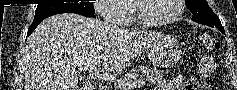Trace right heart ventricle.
Instances as JSON below:
<instances>
[{
	"mask_svg": "<svg viewBox=\"0 0 237 90\" xmlns=\"http://www.w3.org/2000/svg\"><path fill=\"white\" fill-rule=\"evenodd\" d=\"M128 7H115V11H128ZM117 28H139L138 24L134 19H128L126 23H121L117 26Z\"/></svg>",
	"mask_w": 237,
	"mask_h": 90,
	"instance_id": "1",
	"label": "right heart ventricle"
}]
</instances>
